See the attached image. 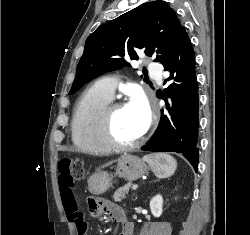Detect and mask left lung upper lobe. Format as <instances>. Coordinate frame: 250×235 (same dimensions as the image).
Wrapping results in <instances>:
<instances>
[{
    "instance_id": "obj_1",
    "label": "left lung upper lobe",
    "mask_w": 250,
    "mask_h": 235,
    "mask_svg": "<svg viewBox=\"0 0 250 235\" xmlns=\"http://www.w3.org/2000/svg\"><path fill=\"white\" fill-rule=\"evenodd\" d=\"M181 29L175 11L160 0L144 3L99 26L85 42L69 94L105 72L130 66L126 59L137 60L139 52L163 63Z\"/></svg>"
}]
</instances>
